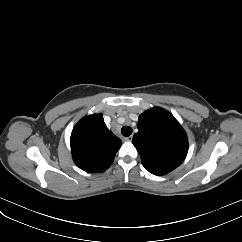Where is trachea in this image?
Listing matches in <instances>:
<instances>
[{
  "label": "trachea",
  "mask_w": 242,
  "mask_h": 242,
  "mask_svg": "<svg viewBox=\"0 0 242 242\" xmlns=\"http://www.w3.org/2000/svg\"><path fill=\"white\" fill-rule=\"evenodd\" d=\"M121 133L124 137H128L132 133V128L129 126H123L121 129Z\"/></svg>",
  "instance_id": "1"
}]
</instances>
